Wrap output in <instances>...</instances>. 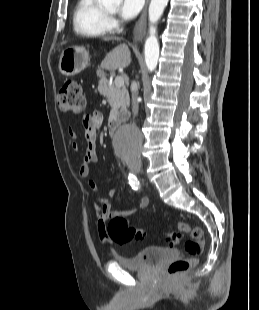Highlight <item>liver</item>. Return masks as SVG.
I'll list each match as a JSON object with an SVG mask.
<instances>
[{
	"instance_id": "obj_1",
	"label": "liver",
	"mask_w": 259,
	"mask_h": 310,
	"mask_svg": "<svg viewBox=\"0 0 259 310\" xmlns=\"http://www.w3.org/2000/svg\"><path fill=\"white\" fill-rule=\"evenodd\" d=\"M116 38H106L111 40ZM131 63V53L128 46L123 43L112 49L102 61L101 66L105 69L116 70L128 67Z\"/></svg>"
}]
</instances>
